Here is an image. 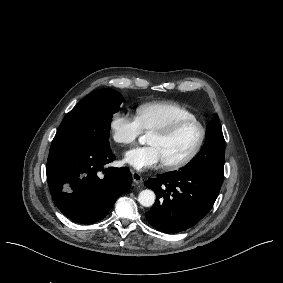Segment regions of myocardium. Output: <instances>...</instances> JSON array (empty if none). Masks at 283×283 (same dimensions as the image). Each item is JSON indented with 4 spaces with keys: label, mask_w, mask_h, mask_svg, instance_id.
<instances>
[{
    "label": "myocardium",
    "mask_w": 283,
    "mask_h": 283,
    "mask_svg": "<svg viewBox=\"0 0 283 283\" xmlns=\"http://www.w3.org/2000/svg\"><path fill=\"white\" fill-rule=\"evenodd\" d=\"M194 123L197 125L199 129V136L194 148L191 152L181 161L176 163H165V166L168 170H179L187 165H189L200 153L207 136V130L205 125L202 123L201 120L198 118L191 116V117H181L175 120L172 124L161 131H156L153 134L159 136L163 139H169L175 135V133L185 124Z\"/></svg>",
    "instance_id": "1"
}]
</instances>
